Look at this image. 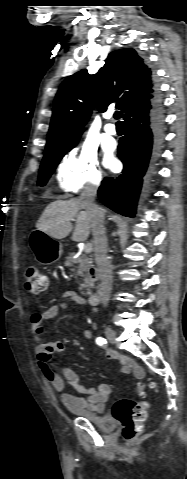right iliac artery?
Returning a JSON list of instances; mask_svg holds the SVG:
<instances>
[{
  "mask_svg": "<svg viewBox=\"0 0 187 479\" xmlns=\"http://www.w3.org/2000/svg\"><path fill=\"white\" fill-rule=\"evenodd\" d=\"M96 343H97L98 345H100V346H103V345H105V344L107 343V341H106L105 338L98 337V338L96 339Z\"/></svg>",
  "mask_w": 187,
  "mask_h": 479,
  "instance_id": "82829eb1",
  "label": "right iliac artery"
}]
</instances>
